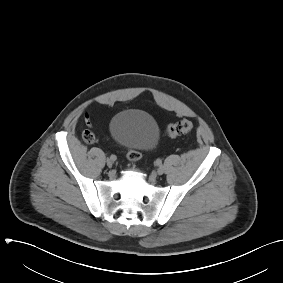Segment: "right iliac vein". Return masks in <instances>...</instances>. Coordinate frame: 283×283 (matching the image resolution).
I'll list each match as a JSON object with an SVG mask.
<instances>
[{"label":"right iliac vein","mask_w":283,"mask_h":283,"mask_svg":"<svg viewBox=\"0 0 283 283\" xmlns=\"http://www.w3.org/2000/svg\"><path fill=\"white\" fill-rule=\"evenodd\" d=\"M106 163H107L108 167H112V165H113V161L109 158L107 159Z\"/></svg>","instance_id":"right-iliac-vein-1"}]
</instances>
